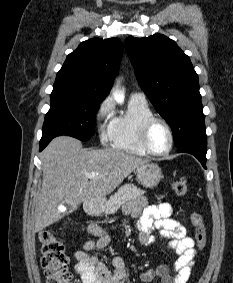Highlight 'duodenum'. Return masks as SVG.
I'll list each match as a JSON object with an SVG mask.
<instances>
[{"label":"duodenum","instance_id":"obj_1","mask_svg":"<svg viewBox=\"0 0 233 283\" xmlns=\"http://www.w3.org/2000/svg\"><path fill=\"white\" fill-rule=\"evenodd\" d=\"M104 206H105V204H104L103 201L93 200V201H90L86 204L85 209H86L87 213L92 214V215H96V214L103 211Z\"/></svg>","mask_w":233,"mask_h":283}]
</instances>
